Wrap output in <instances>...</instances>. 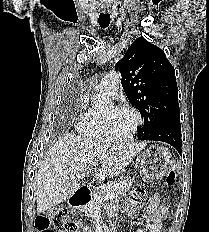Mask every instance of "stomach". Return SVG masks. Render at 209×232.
<instances>
[{"instance_id": "0dacf381", "label": "stomach", "mask_w": 209, "mask_h": 232, "mask_svg": "<svg viewBox=\"0 0 209 232\" xmlns=\"http://www.w3.org/2000/svg\"><path fill=\"white\" fill-rule=\"evenodd\" d=\"M170 153L160 146H151L141 155V172L146 181L161 179L167 172ZM104 190V187H101Z\"/></svg>"}]
</instances>
